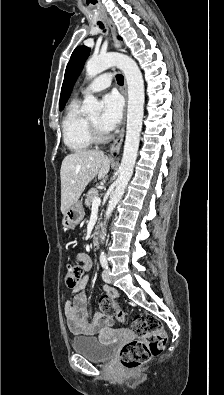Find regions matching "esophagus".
<instances>
[{
  "mask_svg": "<svg viewBox=\"0 0 224 395\" xmlns=\"http://www.w3.org/2000/svg\"><path fill=\"white\" fill-rule=\"evenodd\" d=\"M106 23L109 26V28L111 30V33L113 35L115 47L117 49H120L121 48V43L117 39L116 28H115L114 24L112 23V21L110 19H107ZM122 92H123V95L125 96V98L127 99V85H126V82H124V86H123V91ZM124 132H125V117H124V121H123V126H122L117 138L111 144L110 151H109V154H110L111 157L114 156V152L115 151L120 149V147L122 145V142H123V139H124Z\"/></svg>",
  "mask_w": 224,
  "mask_h": 395,
  "instance_id": "34e87169",
  "label": "esophagus"
}]
</instances>
